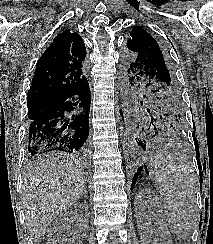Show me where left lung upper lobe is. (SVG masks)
I'll use <instances>...</instances> for the list:
<instances>
[{"label":"left lung upper lobe","mask_w":213,"mask_h":244,"mask_svg":"<svg viewBox=\"0 0 213 244\" xmlns=\"http://www.w3.org/2000/svg\"><path fill=\"white\" fill-rule=\"evenodd\" d=\"M126 105L153 120L165 136L185 133V116L174 68L157 41L146 30L134 27L122 62Z\"/></svg>","instance_id":"obj_1"}]
</instances>
